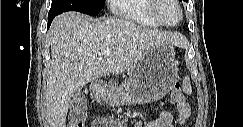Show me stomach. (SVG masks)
Wrapping results in <instances>:
<instances>
[{
	"label": "stomach",
	"instance_id": "stomach-1",
	"mask_svg": "<svg viewBox=\"0 0 243 127\" xmlns=\"http://www.w3.org/2000/svg\"><path fill=\"white\" fill-rule=\"evenodd\" d=\"M178 79L175 50L161 44L146 52L129 71L122 86L100 84L95 92L111 105L144 104L163 98Z\"/></svg>",
	"mask_w": 243,
	"mask_h": 127
}]
</instances>
